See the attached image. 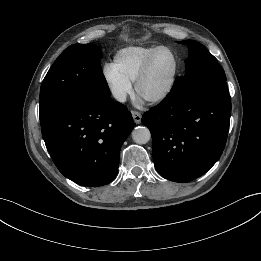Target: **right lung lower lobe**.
Here are the masks:
<instances>
[{"mask_svg":"<svg viewBox=\"0 0 261 261\" xmlns=\"http://www.w3.org/2000/svg\"><path fill=\"white\" fill-rule=\"evenodd\" d=\"M133 127L126 106L111 98L80 101L41 123L55 165L65 177L83 186L112 182L121 146Z\"/></svg>","mask_w":261,"mask_h":261,"instance_id":"obj_1","label":"right lung lower lobe"}]
</instances>
